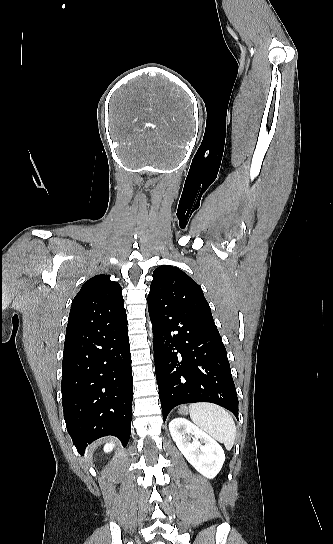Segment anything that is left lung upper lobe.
<instances>
[{"label":"left lung upper lobe","mask_w":333,"mask_h":544,"mask_svg":"<svg viewBox=\"0 0 333 544\" xmlns=\"http://www.w3.org/2000/svg\"><path fill=\"white\" fill-rule=\"evenodd\" d=\"M148 302L214 321L201 287L173 266L163 265L154 270Z\"/></svg>","instance_id":"1"}]
</instances>
